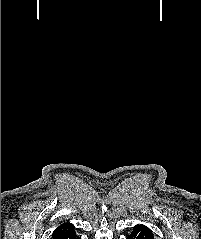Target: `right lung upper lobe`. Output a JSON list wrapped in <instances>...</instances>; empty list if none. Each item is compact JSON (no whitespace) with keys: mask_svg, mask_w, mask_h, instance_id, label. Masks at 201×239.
<instances>
[{"mask_svg":"<svg viewBox=\"0 0 201 239\" xmlns=\"http://www.w3.org/2000/svg\"><path fill=\"white\" fill-rule=\"evenodd\" d=\"M75 236H77L75 228L71 223L60 225L52 234L53 239H74Z\"/></svg>","mask_w":201,"mask_h":239,"instance_id":"obj_1","label":"right lung upper lobe"}]
</instances>
